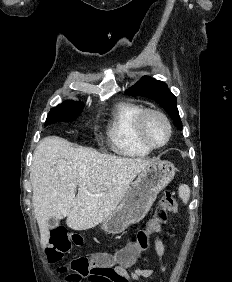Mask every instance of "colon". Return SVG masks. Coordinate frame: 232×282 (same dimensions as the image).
Returning <instances> with one entry per match:
<instances>
[{
    "label": "colon",
    "mask_w": 232,
    "mask_h": 282,
    "mask_svg": "<svg viewBox=\"0 0 232 282\" xmlns=\"http://www.w3.org/2000/svg\"><path fill=\"white\" fill-rule=\"evenodd\" d=\"M178 211V203L174 193L166 190L156 211L155 216L148 222L144 229L136 233L135 239L130 241L122 250L114 255L108 253H95L91 256H79L72 259L67 266L57 268L59 273H70L66 276L67 282H81L83 279H95L110 275L115 265L122 268L132 267L142 256L143 252L150 249L151 236L161 232L168 221L169 213ZM81 238L71 235L64 227L51 230L50 244L46 251L49 263H57L63 255L73 246L80 245Z\"/></svg>",
    "instance_id": "obj_1"
}]
</instances>
